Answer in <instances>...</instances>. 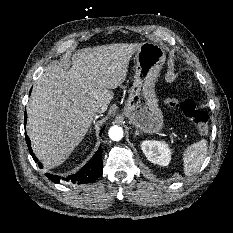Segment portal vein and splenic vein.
Returning <instances> with one entry per match:
<instances>
[{"label":"portal vein and splenic vein","instance_id":"1","mask_svg":"<svg viewBox=\"0 0 233 233\" xmlns=\"http://www.w3.org/2000/svg\"><path fill=\"white\" fill-rule=\"evenodd\" d=\"M173 135H174L175 137H177L178 139H180V137H179L177 134L173 133ZM186 143H187V142H186ZM187 146H188V143H187Z\"/></svg>","mask_w":233,"mask_h":233}]
</instances>
